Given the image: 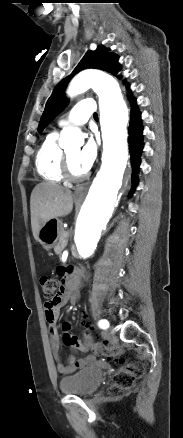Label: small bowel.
I'll use <instances>...</instances> for the list:
<instances>
[{
	"label": "small bowel",
	"mask_w": 183,
	"mask_h": 438,
	"mask_svg": "<svg viewBox=\"0 0 183 438\" xmlns=\"http://www.w3.org/2000/svg\"><path fill=\"white\" fill-rule=\"evenodd\" d=\"M60 274L63 276V282L57 295L45 303V318L49 326L51 336L52 353L57 361V370L63 375H71L78 369H81L95 361V357L88 354L86 357L76 359L71 356L66 364L60 361L61 347L58 333L57 322L60 317L61 308L74 297V282L86 281L88 275L85 270L76 267L61 269ZM63 341L76 352L88 353L89 347L81 343L71 332V325L68 322L62 324Z\"/></svg>",
	"instance_id": "c3829d8e"
}]
</instances>
